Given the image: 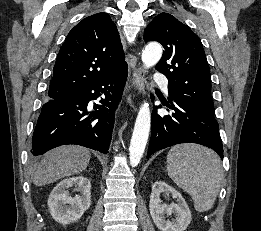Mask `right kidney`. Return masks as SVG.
I'll list each match as a JSON object with an SVG mask.
<instances>
[{"label":"right kidney","mask_w":261,"mask_h":231,"mask_svg":"<svg viewBox=\"0 0 261 231\" xmlns=\"http://www.w3.org/2000/svg\"><path fill=\"white\" fill-rule=\"evenodd\" d=\"M75 187L81 196L71 197L67 191ZM91 183L84 176L67 178L59 182L48 199V207L53 219L61 224H70L81 218L91 205Z\"/></svg>","instance_id":"ca27d5eb"}]
</instances>
